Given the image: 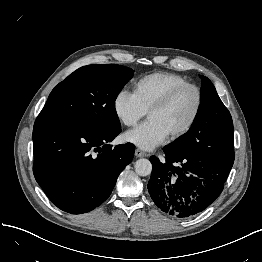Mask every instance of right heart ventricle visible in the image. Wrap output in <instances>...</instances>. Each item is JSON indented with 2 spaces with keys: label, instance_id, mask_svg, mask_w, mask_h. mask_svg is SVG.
I'll return each mask as SVG.
<instances>
[{
  "label": "right heart ventricle",
  "instance_id": "obj_1",
  "mask_svg": "<svg viewBox=\"0 0 262 262\" xmlns=\"http://www.w3.org/2000/svg\"><path fill=\"white\" fill-rule=\"evenodd\" d=\"M188 80L171 72H156L140 78L133 87V93L138 102L147 112L171 89L187 84Z\"/></svg>",
  "mask_w": 262,
  "mask_h": 262
}]
</instances>
